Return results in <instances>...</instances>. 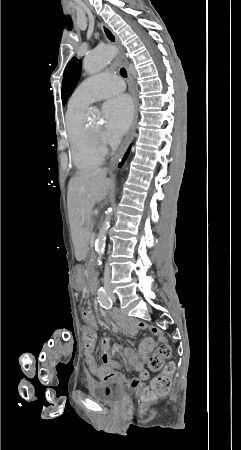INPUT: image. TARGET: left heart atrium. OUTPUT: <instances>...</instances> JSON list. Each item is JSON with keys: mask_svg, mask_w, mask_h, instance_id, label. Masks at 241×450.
I'll return each instance as SVG.
<instances>
[{"mask_svg": "<svg viewBox=\"0 0 241 450\" xmlns=\"http://www.w3.org/2000/svg\"><path fill=\"white\" fill-rule=\"evenodd\" d=\"M108 114L107 127L115 136L123 135L129 128L134 117V106L131 98L120 94L105 105Z\"/></svg>", "mask_w": 241, "mask_h": 450, "instance_id": "left-heart-atrium-1", "label": "left heart atrium"}]
</instances>
